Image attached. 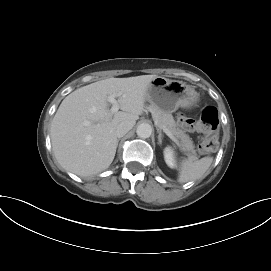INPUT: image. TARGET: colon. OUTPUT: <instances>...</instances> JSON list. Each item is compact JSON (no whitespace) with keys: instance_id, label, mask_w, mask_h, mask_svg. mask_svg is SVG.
<instances>
[{"instance_id":"colon-1","label":"colon","mask_w":271,"mask_h":271,"mask_svg":"<svg viewBox=\"0 0 271 271\" xmlns=\"http://www.w3.org/2000/svg\"><path fill=\"white\" fill-rule=\"evenodd\" d=\"M178 125L189 132H201L204 134L198 145V149L203 154L213 152L218 145L219 117L217 109L213 106L205 107L198 120H194L179 114L177 116Z\"/></svg>"}]
</instances>
